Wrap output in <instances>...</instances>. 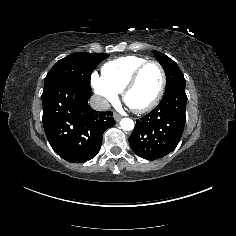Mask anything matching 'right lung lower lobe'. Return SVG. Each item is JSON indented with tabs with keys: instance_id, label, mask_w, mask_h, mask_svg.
I'll return each instance as SVG.
<instances>
[{
	"instance_id": "98d812e1",
	"label": "right lung lower lobe",
	"mask_w": 236,
	"mask_h": 236,
	"mask_svg": "<svg viewBox=\"0 0 236 236\" xmlns=\"http://www.w3.org/2000/svg\"><path fill=\"white\" fill-rule=\"evenodd\" d=\"M91 90L67 81L56 82L42 93V122L53 150L70 163L94 158L102 134L115 124L112 112H97L88 105Z\"/></svg>"
}]
</instances>
